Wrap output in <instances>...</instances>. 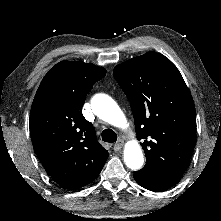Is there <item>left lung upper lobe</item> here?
Returning a JSON list of instances; mask_svg holds the SVG:
<instances>
[{
	"label": "left lung upper lobe",
	"mask_w": 221,
	"mask_h": 221,
	"mask_svg": "<svg viewBox=\"0 0 221 221\" xmlns=\"http://www.w3.org/2000/svg\"><path fill=\"white\" fill-rule=\"evenodd\" d=\"M114 77L128 97L146 165L140 177L181 178L196 142L191 93L176 66L148 52L117 65Z\"/></svg>",
	"instance_id": "5c2ea615"
}]
</instances>
